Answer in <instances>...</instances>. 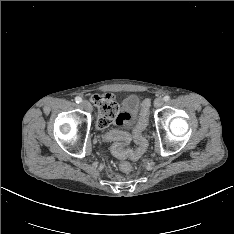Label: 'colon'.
Segmentation results:
<instances>
[{"label": "colon", "instance_id": "obj_1", "mask_svg": "<svg viewBox=\"0 0 234 234\" xmlns=\"http://www.w3.org/2000/svg\"><path fill=\"white\" fill-rule=\"evenodd\" d=\"M93 103L99 110L98 125L101 128L113 125L108 133L105 135V140L112 142L111 152L119 159H138L144 152L146 142L142 136V130L144 129L147 122V115H149V107L151 102L149 97H146L142 101V120L137 122L136 126L133 128L132 135L138 144L135 149L129 148V144L132 141V136L125 132L122 125L126 121V117L123 113H120L119 106L116 100L110 95H96L92 98ZM117 125V126H116ZM123 172H130L132 170V165L125 162L121 165Z\"/></svg>", "mask_w": 234, "mask_h": 234}]
</instances>
